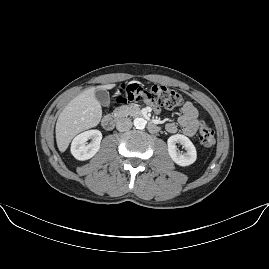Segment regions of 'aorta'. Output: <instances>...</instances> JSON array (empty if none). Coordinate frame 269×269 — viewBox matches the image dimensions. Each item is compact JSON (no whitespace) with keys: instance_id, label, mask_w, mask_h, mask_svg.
Here are the masks:
<instances>
[{"instance_id":"1","label":"aorta","mask_w":269,"mask_h":269,"mask_svg":"<svg viewBox=\"0 0 269 269\" xmlns=\"http://www.w3.org/2000/svg\"><path fill=\"white\" fill-rule=\"evenodd\" d=\"M133 124L137 129H141L146 126V120L141 117H136L133 121Z\"/></svg>"}]
</instances>
